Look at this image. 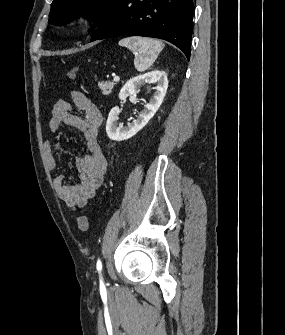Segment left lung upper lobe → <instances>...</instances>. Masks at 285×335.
<instances>
[{
  "label": "left lung upper lobe",
  "instance_id": "5c2ea615",
  "mask_svg": "<svg viewBox=\"0 0 285 335\" xmlns=\"http://www.w3.org/2000/svg\"><path fill=\"white\" fill-rule=\"evenodd\" d=\"M117 0H53L49 21L52 24L64 25L81 14L88 15L90 20H102Z\"/></svg>",
  "mask_w": 285,
  "mask_h": 335
}]
</instances>
